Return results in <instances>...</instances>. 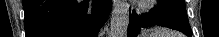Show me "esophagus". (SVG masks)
I'll list each match as a JSON object with an SVG mask.
<instances>
[{"label": "esophagus", "mask_w": 219, "mask_h": 37, "mask_svg": "<svg viewBox=\"0 0 219 37\" xmlns=\"http://www.w3.org/2000/svg\"><path fill=\"white\" fill-rule=\"evenodd\" d=\"M112 2H113V4H115L117 1H116V0H113Z\"/></svg>", "instance_id": "34e87169"}]
</instances>
